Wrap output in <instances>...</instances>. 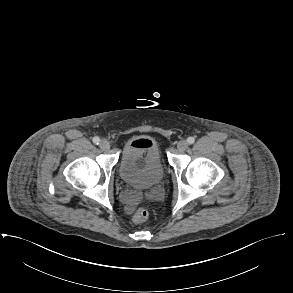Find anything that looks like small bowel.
Masks as SVG:
<instances>
[{"mask_svg": "<svg viewBox=\"0 0 293 293\" xmlns=\"http://www.w3.org/2000/svg\"><path fill=\"white\" fill-rule=\"evenodd\" d=\"M150 142L148 139L144 138V137H135L132 140V143L134 144H144V143H148ZM121 198L124 201V203L126 204V208L128 211H132L135 202H136V193L132 192V191H123L121 193Z\"/></svg>", "mask_w": 293, "mask_h": 293, "instance_id": "1", "label": "small bowel"}]
</instances>
